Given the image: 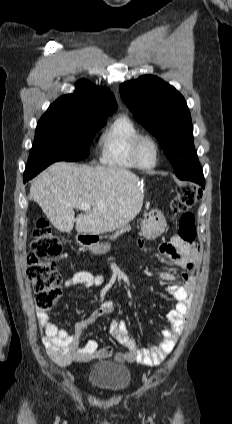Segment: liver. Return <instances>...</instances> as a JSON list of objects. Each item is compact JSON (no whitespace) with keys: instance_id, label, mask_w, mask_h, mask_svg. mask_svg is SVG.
<instances>
[{"instance_id":"6515ba94","label":"liver","mask_w":232,"mask_h":424,"mask_svg":"<svg viewBox=\"0 0 232 424\" xmlns=\"http://www.w3.org/2000/svg\"><path fill=\"white\" fill-rule=\"evenodd\" d=\"M29 198L61 232L99 235L133 220L143 206L139 177L119 167H90L56 162L32 183ZM91 209L75 218L74 208Z\"/></svg>"}]
</instances>
